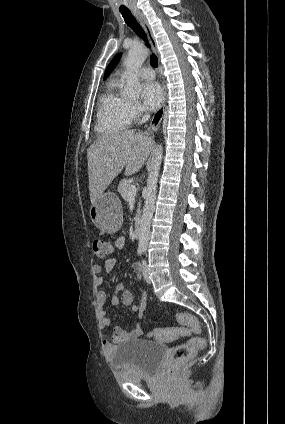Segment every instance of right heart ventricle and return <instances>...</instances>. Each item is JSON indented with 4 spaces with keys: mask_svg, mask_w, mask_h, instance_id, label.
Here are the masks:
<instances>
[{
    "mask_svg": "<svg viewBox=\"0 0 285 424\" xmlns=\"http://www.w3.org/2000/svg\"><path fill=\"white\" fill-rule=\"evenodd\" d=\"M129 103L119 91V81L112 79L99 99L96 131L108 135L125 129L130 123Z\"/></svg>",
    "mask_w": 285,
    "mask_h": 424,
    "instance_id": "obj_1",
    "label": "right heart ventricle"
}]
</instances>
